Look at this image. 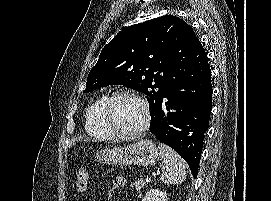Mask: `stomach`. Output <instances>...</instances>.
Masks as SVG:
<instances>
[{
    "mask_svg": "<svg viewBox=\"0 0 271 201\" xmlns=\"http://www.w3.org/2000/svg\"><path fill=\"white\" fill-rule=\"evenodd\" d=\"M160 152L151 140H140L127 146H111L95 152V160L109 165H135L147 167L155 165Z\"/></svg>",
    "mask_w": 271,
    "mask_h": 201,
    "instance_id": "stomach-1",
    "label": "stomach"
}]
</instances>
